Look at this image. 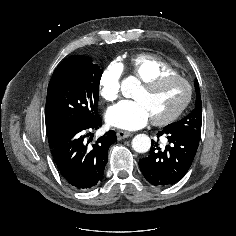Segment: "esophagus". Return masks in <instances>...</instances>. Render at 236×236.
I'll use <instances>...</instances> for the list:
<instances>
[{"label": "esophagus", "instance_id": "34e87169", "mask_svg": "<svg viewBox=\"0 0 236 236\" xmlns=\"http://www.w3.org/2000/svg\"><path fill=\"white\" fill-rule=\"evenodd\" d=\"M116 134H117V138H118L119 140L128 138V137H130V136L133 135L131 132H129V131H124V130H118Z\"/></svg>", "mask_w": 236, "mask_h": 236}]
</instances>
